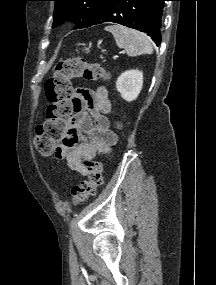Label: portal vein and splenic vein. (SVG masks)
I'll return each mask as SVG.
<instances>
[{
    "label": "portal vein and splenic vein",
    "mask_w": 216,
    "mask_h": 285,
    "mask_svg": "<svg viewBox=\"0 0 216 285\" xmlns=\"http://www.w3.org/2000/svg\"><path fill=\"white\" fill-rule=\"evenodd\" d=\"M121 53H124V52H121ZM113 58H114V59H116V58H117V56H114Z\"/></svg>",
    "instance_id": "obj_1"
}]
</instances>
